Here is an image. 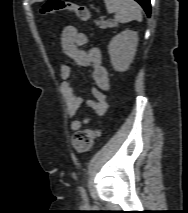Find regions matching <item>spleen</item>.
Wrapping results in <instances>:
<instances>
[{"label": "spleen", "instance_id": "3e777b00", "mask_svg": "<svg viewBox=\"0 0 188 213\" xmlns=\"http://www.w3.org/2000/svg\"><path fill=\"white\" fill-rule=\"evenodd\" d=\"M108 13H114L115 19L121 23L142 21L141 8L134 0H104Z\"/></svg>", "mask_w": 188, "mask_h": 213}]
</instances>
